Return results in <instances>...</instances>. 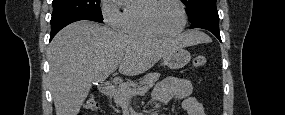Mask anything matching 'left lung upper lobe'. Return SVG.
I'll list each match as a JSON object with an SVG mask.
<instances>
[{
    "instance_id": "obj_1",
    "label": "left lung upper lobe",
    "mask_w": 285,
    "mask_h": 115,
    "mask_svg": "<svg viewBox=\"0 0 285 115\" xmlns=\"http://www.w3.org/2000/svg\"><path fill=\"white\" fill-rule=\"evenodd\" d=\"M186 6V13L192 22L200 14L216 10V0H182Z\"/></svg>"
}]
</instances>
